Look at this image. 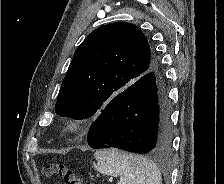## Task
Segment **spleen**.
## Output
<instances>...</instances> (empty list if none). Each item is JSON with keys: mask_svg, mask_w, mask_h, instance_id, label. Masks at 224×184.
<instances>
[{"mask_svg": "<svg viewBox=\"0 0 224 184\" xmlns=\"http://www.w3.org/2000/svg\"><path fill=\"white\" fill-rule=\"evenodd\" d=\"M93 163L102 174L120 177L118 184H162L160 170L155 163L135 154L116 149L96 151Z\"/></svg>", "mask_w": 224, "mask_h": 184, "instance_id": "3e777b00", "label": "spleen"}]
</instances>
